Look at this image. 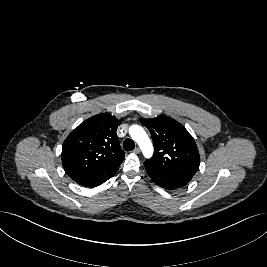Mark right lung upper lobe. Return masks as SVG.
I'll use <instances>...</instances> for the list:
<instances>
[{"label":"right lung upper lobe","instance_id":"1","mask_svg":"<svg viewBox=\"0 0 267 267\" xmlns=\"http://www.w3.org/2000/svg\"><path fill=\"white\" fill-rule=\"evenodd\" d=\"M120 123L111 114L101 113L82 122L67 136L62 164L70 178L76 180L122 163L125 152L116 134Z\"/></svg>","mask_w":267,"mask_h":267}]
</instances>
